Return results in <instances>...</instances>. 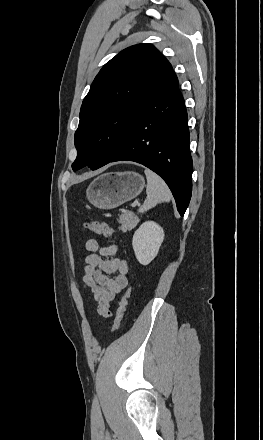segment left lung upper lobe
<instances>
[{"label":"left lung upper lobe","instance_id":"left-lung-upper-lobe-1","mask_svg":"<svg viewBox=\"0 0 263 440\" xmlns=\"http://www.w3.org/2000/svg\"><path fill=\"white\" fill-rule=\"evenodd\" d=\"M171 68L151 44L124 49L102 67L81 106L74 171L86 165L98 169L120 151L139 111Z\"/></svg>","mask_w":263,"mask_h":440}]
</instances>
